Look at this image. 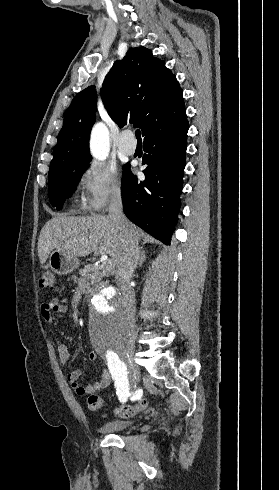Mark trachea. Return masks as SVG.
<instances>
[{
  "mask_svg": "<svg viewBox=\"0 0 279 490\" xmlns=\"http://www.w3.org/2000/svg\"><path fill=\"white\" fill-rule=\"evenodd\" d=\"M135 135L137 140L140 142L141 141L140 130H136Z\"/></svg>",
  "mask_w": 279,
  "mask_h": 490,
  "instance_id": "obj_1",
  "label": "trachea"
}]
</instances>
